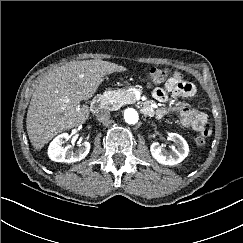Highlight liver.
<instances>
[{
  "mask_svg": "<svg viewBox=\"0 0 243 243\" xmlns=\"http://www.w3.org/2000/svg\"><path fill=\"white\" fill-rule=\"evenodd\" d=\"M125 70L99 59L71 61L50 70L40 79L28 107L26 128L32 146L40 150L58 133L83 124L89 107L80 101L95 94L104 76Z\"/></svg>",
  "mask_w": 243,
  "mask_h": 243,
  "instance_id": "6515ba94",
  "label": "liver"
}]
</instances>
